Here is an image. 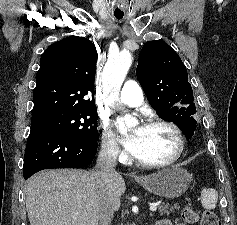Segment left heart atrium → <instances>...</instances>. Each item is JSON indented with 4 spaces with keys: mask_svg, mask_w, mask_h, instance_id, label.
I'll return each instance as SVG.
<instances>
[{
    "mask_svg": "<svg viewBox=\"0 0 237 225\" xmlns=\"http://www.w3.org/2000/svg\"><path fill=\"white\" fill-rule=\"evenodd\" d=\"M123 143L126 147V149L133 155H137L140 147V128L135 130L134 133L127 136Z\"/></svg>",
    "mask_w": 237,
    "mask_h": 225,
    "instance_id": "left-heart-atrium-1",
    "label": "left heart atrium"
}]
</instances>
